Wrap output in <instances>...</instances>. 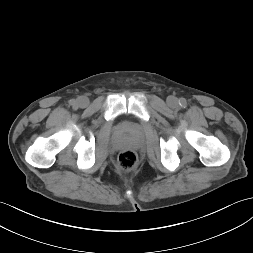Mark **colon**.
<instances>
[{
	"instance_id": "colon-1",
	"label": "colon",
	"mask_w": 253,
	"mask_h": 253,
	"mask_svg": "<svg viewBox=\"0 0 253 253\" xmlns=\"http://www.w3.org/2000/svg\"><path fill=\"white\" fill-rule=\"evenodd\" d=\"M137 154L132 150H124L119 153L117 159L118 169L122 172H129L137 164Z\"/></svg>"
}]
</instances>
